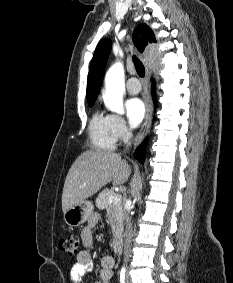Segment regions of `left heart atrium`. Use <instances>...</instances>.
Here are the masks:
<instances>
[{"label": "left heart atrium", "instance_id": "left-heart-atrium-1", "mask_svg": "<svg viewBox=\"0 0 233 283\" xmlns=\"http://www.w3.org/2000/svg\"><path fill=\"white\" fill-rule=\"evenodd\" d=\"M126 116L131 126H138L145 117V105L139 98H130L125 103Z\"/></svg>", "mask_w": 233, "mask_h": 283}]
</instances>
